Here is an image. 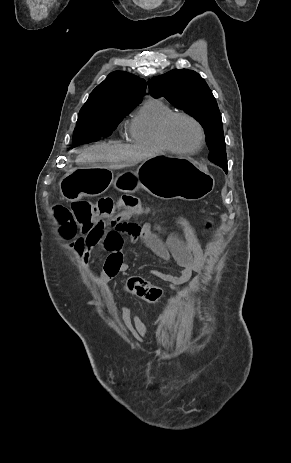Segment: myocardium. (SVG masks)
<instances>
[{
  "instance_id": "obj_1",
  "label": "myocardium",
  "mask_w": 291,
  "mask_h": 463,
  "mask_svg": "<svg viewBox=\"0 0 291 463\" xmlns=\"http://www.w3.org/2000/svg\"><path fill=\"white\" fill-rule=\"evenodd\" d=\"M177 118H185L191 121L197 127L199 131V141L196 146L189 148V149H183V148L176 146L171 141L169 137V129L173 121ZM160 134H161L162 141L164 142V144L170 151L178 153V154H185V155L195 154L199 152L203 148L205 144V140H206L205 129L203 125L201 124V122L198 119H196L194 116L188 113H183V112H175L171 114L170 116H168L162 123Z\"/></svg>"
}]
</instances>
